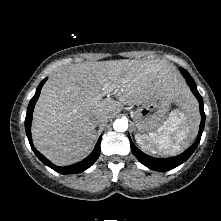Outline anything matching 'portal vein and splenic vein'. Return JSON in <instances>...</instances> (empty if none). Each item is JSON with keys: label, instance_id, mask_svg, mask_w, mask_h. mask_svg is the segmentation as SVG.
<instances>
[{"label": "portal vein and splenic vein", "instance_id": "1", "mask_svg": "<svg viewBox=\"0 0 221 221\" xmlns=\"http://www.w3.org/2000/svg\"><path fill=\"white\" fill-rule=\"evenodd\" d=\"M106 91H107V92H111V91H112V88H107Z\"/></svg>", "mask_w": 221, "mask_h": 221}]
</instances>
